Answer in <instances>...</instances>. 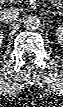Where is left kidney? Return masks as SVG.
Listing matches in <instances>:
<instances>
[{"mask_svg":"<svg viewBox=\"0 0 63 107\" xmlns=\"http://www.w3.org/2000/svg\"><path fill=\"white\" fill-rule=\"evenodd\" d=\"M56 35L59 43L63 45V27H58L56 30Z\"/></svg>","mask_w":63,"mask_h":107,"instance_id":"left-kidney-1","label":"left kidney"}]
</instances>
